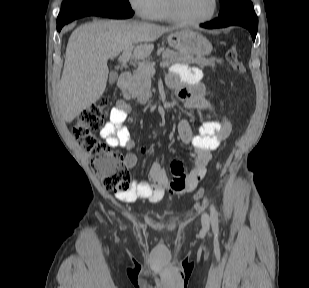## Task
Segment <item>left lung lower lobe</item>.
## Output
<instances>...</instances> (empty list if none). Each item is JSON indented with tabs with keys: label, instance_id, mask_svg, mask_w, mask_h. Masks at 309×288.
Here are the masks:
<instances>
[{
	"label": "left lung lower lobe",
	"instance_id": "1",
	"mask_svg": "<svg viewBox=\"0 0 309 288\" xmlns=\"http://www.w3.org/2000/svg\"><path fill=\"white\" fill-rule=\"evenodd\" d=\"M231 25H239L247 28L252 35L253 41H255L258 29V18L252 6L243 8L231 15L219 17L211 22L203 23L200 26L207 29H213Z\"/></svg>",
	"mask_w": 309,
	"mask_h": 288
}]
</instances>
